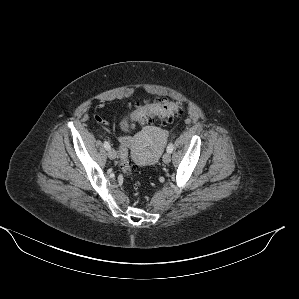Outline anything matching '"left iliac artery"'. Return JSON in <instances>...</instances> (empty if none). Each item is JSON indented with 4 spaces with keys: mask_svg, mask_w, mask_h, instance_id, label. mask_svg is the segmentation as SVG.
<instances>
[{
    "mask_svg": "<svg viewBox=\"0 0 299 299\" xmlns=\"http://www.w3.org/2000/svg\"><path fill=\"white\" fill-rule=\"evenodd\" d=\"M172 151H173V144L170 143V144L167 146V152L172 153Z\"/></svg>",
    "mask_w": 299,
    "mask_h": 299,
    "instance_id": "obj_1",
    "label": "left iliac artery"
}]
</instances>
